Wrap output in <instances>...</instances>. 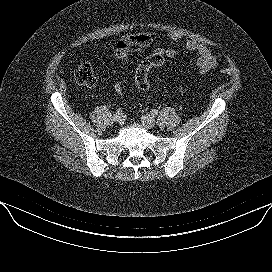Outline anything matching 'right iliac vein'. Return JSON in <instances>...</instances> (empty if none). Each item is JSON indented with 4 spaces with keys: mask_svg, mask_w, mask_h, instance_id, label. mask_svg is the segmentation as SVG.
Instances as JSON below:
<instances>
[{
    "mask_svg": "<svg viewBox=\"0 0 272 272\" xmlns=\"http://www.w3.org/2000/svg\"><path fill=\"white\" fill-rule=\"evenodd\" d=\"M122 116L121 115H117V114H115L114 116H113V121L115 122V123H117V124H120L121 122H122Z\"/></svg>",
    "mask_w": 272,
    "mask_h": 272,
    "instance_id": "63e3f726",
    "label": "right iliac vein"
}]
</instances>
